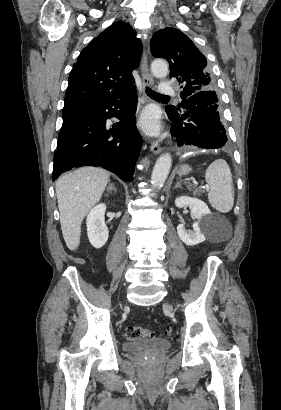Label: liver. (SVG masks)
I'll use <instances>...</instances> for the list:
<instances>
[{"mask_svg":"<svg viewBox=\"0 0 281 410\" xmlns=\"http://www.w3.org/2000/svg\"><path fill=\"white\" fill-rule=\"evenodd\" d=\"M108 182L106 170L90 166L65 174L56 182L62 234L71 251L79 246L82 221L101 199Z\"/></svg>","mask_w":281,"mask_h":410,"instance_id":"6515ba94","label":"liver"}]
</instances>
